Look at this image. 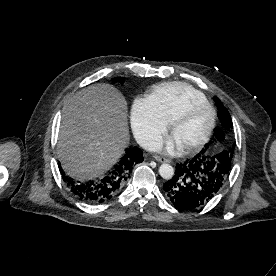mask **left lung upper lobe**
Instances as JSON below:
<instances>
[{
	"mask_svg": "<svg viewBox=\"0 0 276 276\" xmlns=\"http://www.w3.org/2000/svg\"><path fill=\"white\" fill-rule=\"evenodd\" d=\"M215 103L218 108V117L222 125L226 129H232L233 124L228 110L224 107L220 99L217 97L215 98ZM216 138L219 141L224 139V133L220 129H216ZM233 153H234L233 149H230L229 151H224L219 156H215L210 159L214 163L216 167V171L221 170V174H223V177H224V179H222L224 183L229 176Z\"/></svg>",
	"mask_w": 276,
	"mask_h": 276,
	"instance_id": "5c2ea615",
	"label": "left lung upper lobe"
}]
</instances>
